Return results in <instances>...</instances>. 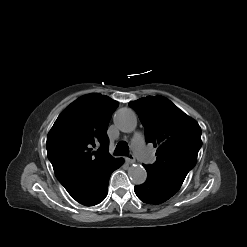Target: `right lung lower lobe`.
<instances>
[{"label": "right lung lower lobe", "mask_w": 247, "mask_h": 247, "mask_svg": "<svg viewBox=\"0 0 247 247\" xmlns=\"http://www.w3.org/2000/svg\"><path fill=\"white\" fill-rule=\"evenodd\" d=\"M123 163V159H118L108 169L101 172L96 177L89 180L71 196L80 204L93 206L102 202L108 193V182L111 173L118 169Z\"/></svg>", "instance_id": "1"}]
</instances>
